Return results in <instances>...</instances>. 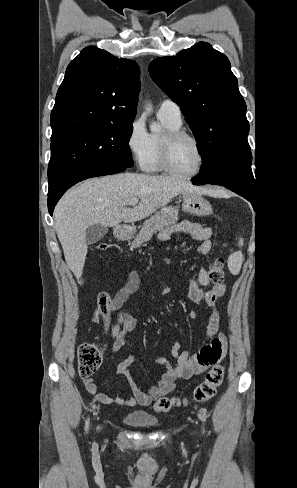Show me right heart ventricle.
Listing matches in <instances>:
<instances>
[{"instance_id":"obj_1","label":"right heart ventricle","mask_w":297,"mask_h":488,"mask_svg":"<svg viewBox=\"0 0 297 488\" xmlns=\"http://www.w3.org/2000/svg\"><path fill=\"white\" fill-rule=\"evenodd\" d=\"M162 122L165 124L169 131L179 130L181 128V124L177 125L168 120L161 119ZM151 138V148L148 160L144 166V169L151 172H159L162 171V167L160 164V141L161 138L150 135Z\"/></svg>"}]
</instances>
